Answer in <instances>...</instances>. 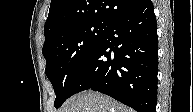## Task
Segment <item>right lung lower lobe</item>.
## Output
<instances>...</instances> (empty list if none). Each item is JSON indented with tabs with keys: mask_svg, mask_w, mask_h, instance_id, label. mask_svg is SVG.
I'll use <instances>...</instances> for the list:
<instances>
[{
	"mask_svg": "<svg viewBox=\"0 0 193 112\" xmlns=\"http://www.w3.org/2000/svg\"><path fill=\"white\" fill-rule=\"evenodd\" d=\"M157 24L151 0L112 21L74 82L70 97L92 89L137 112H155Z\"/></svg>",
	"mask_w": 193,
	"mask_h": 112,
	"instance_id": "1",
	"label": "right lung lower lobe"
}]
</instances>
